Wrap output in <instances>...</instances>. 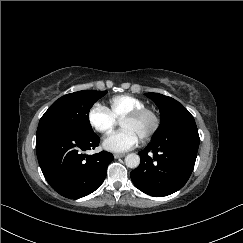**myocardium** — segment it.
Listing matches in <instances>:
<instances>
[{"instance_id": "myocardium-1", "label": "myocardium", "mask_w": 243, "mask_h": 243, "mask_svg": "<svg viewBox=\"0 0 243 243\" xmlns=\"http://www.w3.org/2000/svg\"><path fill=\"white\" fill-rule=\"evenodd\" d=\"M149 116L152 120V126L149 130V132L141 139L142 142H148L153 138V136L157 133L159 127H160V117L159 115L149 108H142L137 109L127 115H125L121 121L123 120H138L142 117Z\"/></svg>"}]
</instances>
